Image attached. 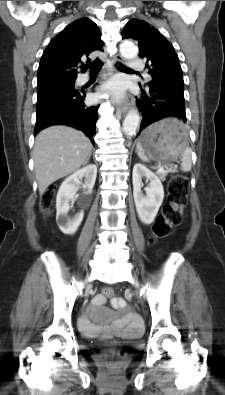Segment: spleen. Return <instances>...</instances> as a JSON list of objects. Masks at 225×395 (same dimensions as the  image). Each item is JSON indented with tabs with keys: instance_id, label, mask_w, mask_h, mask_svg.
<instances>
[{
	"instance_id": "3e777b00",
	"label": "spleen",
	"mask_w": 225,
	"mask_h": 395,
	"mask_svg": "<svg viewBox=\"0 0 225 395\" xmlns=\"http://www.w3.org/2000/svg\"><path fill=\"white\" fill-rule=\"evenodd\" d=\"M191 149L186 148L184 152L182 153V158H181V167L183 171H190L191 166H192V161H191ZM137 154L143 160L144 162H148L149 158L148 156L145 155V153L141 150L140 146L137 144Z\"/></svg>"
}]
</instances>
